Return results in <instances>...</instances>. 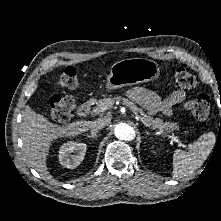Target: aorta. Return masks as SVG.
Segmentation results:
<instances>
[{
  "instance_id": "762f6f07",
  "label": "aorta",
  "mask_w": 221,
  "mask_h": 221,
  "mask_svg": "<svg viewBox=\"0 0 221 221\" xmlns=\"http://www.w3.org/2000/svg\"><path fill=\"white\" fill-rule=\"evenodd\" d=\"M115 136L124 141H130L135 138V130L126 123H119L114 127Z\"/></svg>"
}]
</instances>
